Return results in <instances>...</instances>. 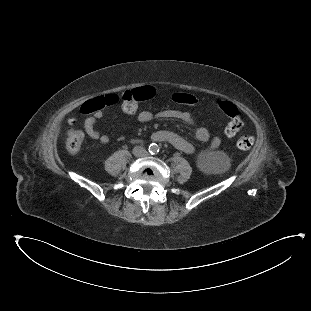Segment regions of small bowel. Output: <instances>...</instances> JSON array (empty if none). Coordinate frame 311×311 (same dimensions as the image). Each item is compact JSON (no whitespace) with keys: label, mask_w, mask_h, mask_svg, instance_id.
Instances as JSON below:
<instances>
[{"label":"small bowel","mask_w":311,"mask_h":311,"mask_svg":"<svg viewBox=\"0 0 311 311\" xmlns=\"http://www.w3.org/2000/svg\"><path fill=\"white\" fill-rule=\"evenodd\" d=\"M103 116L102 112H97L93 116L88 117L84 122V129L86 134L95 140H100L101 143L107 144L110 141L108 135L100 134L99 130L96 128V122ZM155 118L162 119H176L185 122L188 125L194 124V119L192 115L186 111L166 109L159 112H153L151 110H143L138 114V120L142 123H147ZM196 138L201 142H207L210 140L209 131L205 127H199L195 131ZM152 139L156 142H167L174 146L175 148L188 153L195 154L197 152L196 147L187 139L181 135L171 132V131H158L152 135ZM220 144V139L218 137H213L210 140L209 145L206 147V151H212L216 149Z\"/></svg>","instance_id":"obj_1"}]
</instances>
